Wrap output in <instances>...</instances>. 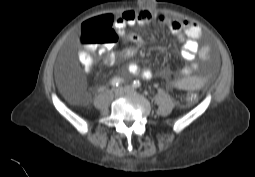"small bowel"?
<instances>
[{
    "instance_id": "small-bowel-1",
    "label": "small bowel",
    "mask_w": 255,
    "mask_h": 177,
    "mask_svg": "<svg viewBox=\"0 0 255 177\" xmlns=\"http://www.w3.org/2000/svg\"><path fill=\"white\" fill-rule=\"evenodd\" d=\"M105 16L108 18L115 32L132 43L130 47L116 52L103 50L102 54L107 64H113L117 60L131 58L138 53L142 45V39L134 33H128V27L133 25L146 26L158 22L165 24L171 33L178 38L181 45V57L190 63L179 71L178 77L169 79V86L177 90H199L207 83L208 78L206 76L194 74L197 68L196 59L207 60L211 50L209 44L199 45L198 39L202 35V30L197 24L187 20L170 18L162 14H155L148 9L140 11L126 10L116 18L110 14ZM82 63L85 70H89L92 66L90 60L86 61L82 59ZM127 70L130 74L141 75L145 79L152 77V73L149 70L142 69L135 62L129 63ZM164 75L167 76L168 74L164 73Z\"/></svg>"
}]
</instances>
